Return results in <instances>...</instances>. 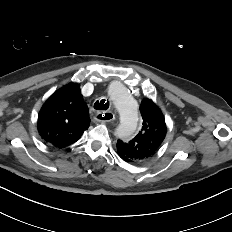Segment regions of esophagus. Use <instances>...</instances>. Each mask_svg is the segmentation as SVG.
<instances>
[{
    "instance_id": "esophagus-1",
    "label": "esophagus",
    "mask_w": 232,
    "mask_h": 232,
    "mask_svg": "<svg viewBox=\"0 0 232 232\" xmlns=\"http://www.w3.org/2000/svg\"><path fill=\"white\" fill-rule=\"evenodd\" d=\"M115 119V115L111 111H100L95 115V120L99 122H110Z\"/></svg>"
}]
</instances>
